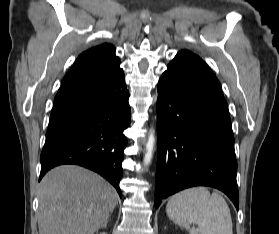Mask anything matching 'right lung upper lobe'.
Returning a JSON list of instances; mask_svg holds the SVG:
<instances>
[{
    "instance_id": "obj_1",
    "label": "right lung upper lobe",
    "mask_w": 279,
    "mask_h": 234,
    "mask_svg": "<svg viewBox=\"0 0 279 234\" xmlns=\"http://www.w3.org/2000/svg\"><path fill=\"white\" fill-rule=\"evenodd\" d=\"M115 51L113 45L104 43L83 52L65 75L58 93L94 83L115 72L120 68Z\"/></svg>"
}]
</instances>
